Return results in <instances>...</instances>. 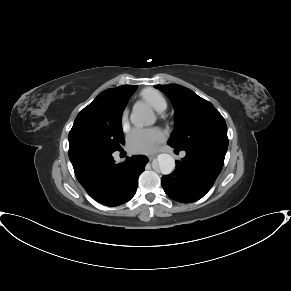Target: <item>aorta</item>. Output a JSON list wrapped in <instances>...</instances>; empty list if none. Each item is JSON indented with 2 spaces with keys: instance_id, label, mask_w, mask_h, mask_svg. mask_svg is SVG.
<instances>
[{
  "instance_id": "762f6f07",
  "label": "aorta",
  "mask_w": 291,
  "mask_h": 291,
  "mask_svg": "<svg viewBox=\"0 0 291 291\" xmlns=\"http://www.w3.org/2000/svg\"><path fill=\"white\" fill-rule=\"evenodd\" d=\"M130 120L135 126L142 127L153 125L156 121V117L148 105L136 103L133 106ZM157 165L162 174L168 175L172 173L175 168V160L169 154H159L157 157Z\"/></svg>"
}]
</instances>
